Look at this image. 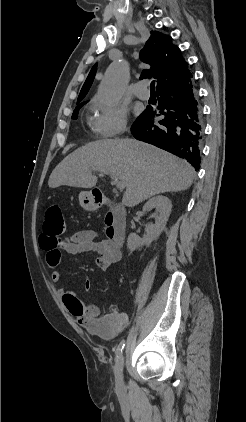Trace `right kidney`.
I'll list each match as a JSON object with an SVG mask.
<instances>
[{"label": "right kidney", "instance_id": "ca27d5eb", "mask_svg": "<svg viewBox=\"0 0 246 422\" xmlns=\"http://www.w3.org/2000/svg\"><path fill=\"white\" fill-rule=\"evenodd\" d=\"M153 208L159 212V216L155 219V224L146 227V234L142 239L134 233L128 236L127 247L130 251H134L142 246H149L164 230L172 209L171 201L166 196H155L143 206V212L147 213Z\"/></svg>", "mask_w": 246, "mask_h": 422}]
</instances>
